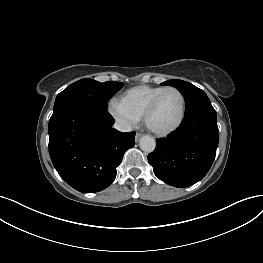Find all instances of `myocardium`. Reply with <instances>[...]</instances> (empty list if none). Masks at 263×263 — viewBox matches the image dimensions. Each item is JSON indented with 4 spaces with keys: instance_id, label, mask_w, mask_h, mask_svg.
<instances>
[{
    "instance_id": "f54148a6",
    "label": "myocardium",
    "mask_w": 263,
    "mask_h": 263,
    "mask_svg": "<svg viewBox=\"0 0 263 263\" xmlns=\"http://www.w3.org/2000/svg\"><path fill=\"white\" fill-rule=\"evenodd\" d=\"M176 91L180 97H181V101H182V110H181V114L179 119L177 120V122L172 125L171 127L167 128V129H163V130H157L152 128L149 125V117L152 114V112L155 110L158 102L160 101L161 97L168 91ZM186 111H187V102H186V97L184 95V93L177 87L174 86H169V87H165L161 92H159L148 104V106L146 107L144 114H143V121L145 126L154 134L158 135V136H167L173 132H175L183 123L185 116H186Z\"/></svg>"
}]
</instances>
